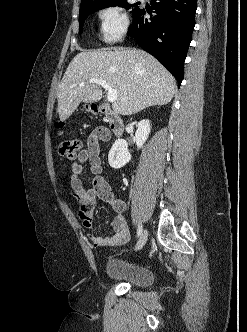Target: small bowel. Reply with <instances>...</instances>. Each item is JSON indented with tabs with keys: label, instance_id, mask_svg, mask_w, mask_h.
<instances>
[{
	"label": "small bowel",
	"instance_id": "c3829d8e",
	"mask_svg": "<svg viewBox=\"0 0 247 332\" xmlns=\"http://www.w3.org/2000/svg\"><path fill=\"white\" fill-rule=\"evenodd\" d=\"M110 139V133L105 127L96 128L87 140V148L77 154L76 161L71 165L69 185L82 205H93L96 199L107 202L116 213L111 222L114 234L107 237H98L92 233V215L83 216L80 213L83 225L89 229L88 239L93 247L116 246L124 244L128 240L127 220L124 215L126 203L116 198L103 175V167L100 158V142ZM90 164L89 173L93 176L90 186L83 183L82 175L84 165Z\"/></svg>",
	"mask_w": 247,
	"mask_h": 332
}]
</instances>
